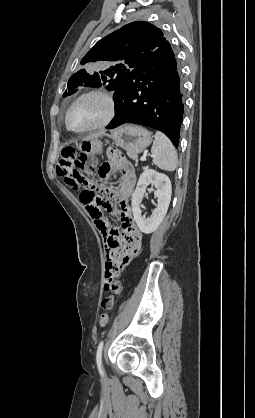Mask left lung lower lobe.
<instances>
[{"label":"left lung lower lobe","mask_w":255,"mask_h":418,"mask_svg":"<svg viewBox=\"0 0 255 418\" xmlns=\"http://www.w3.org/2000/svg\"><path fill=\"white\" fill-rule=\"evenodd\" d=\"M114 101L115 117L107 129L140 124L163 132L178 146L184 113L182 80L169 42L129 73Z\"/></svg>","instance_id":"1"}]
</instances>
